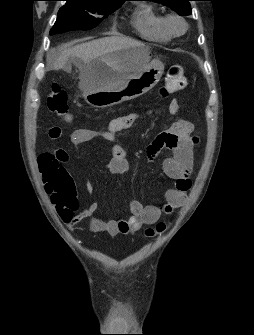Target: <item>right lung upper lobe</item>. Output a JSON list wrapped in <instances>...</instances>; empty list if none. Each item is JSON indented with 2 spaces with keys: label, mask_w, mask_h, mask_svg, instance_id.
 Segmentation results:
<instances>
[{
  "label": "right lung upper lobe",
  "mask_w": 254,
  "mask_h": 335,
  "mask_svg": "<svg viewBox=\"0 0 254 335\" xmlns=\"http://www.w3.org/2000/svg\"><path fill=\"white\" fill-rule=\"evenodd\" d=\"M88 1H95V2H103V3H119L122 4L126 0H88Z\"/></svg>",
  "instance_id": "obj_1"
}]
</instances>
